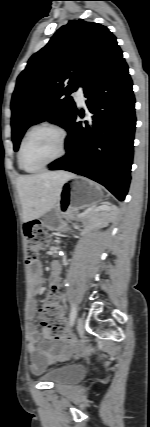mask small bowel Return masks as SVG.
Wrapping results in <instances>:
<instances>
[{
    "label": "small bowel",
    "instance_id": "c3829d8e",
    "mask_svg": "<svg viewBox=\"0 0 150 427\" xmlns=\"http://www.w3.org/2000/svg\"><path fill=\"white\" fill-rule=\"evenodd\" d=\"M30 282L35 293L43 291V272L40 264H35L30 268ZM51 289L57 291L59 286V264L52 263V272L50 277ZM28 344L27 350L31 357V369L38 373L47 365L53 364L62 358L66 350L61 349L59 341H66L67 336L53 337L47 330L44 331V339H41L40 333L35 324H29L27 328Z\"/></svg>",
    "mask_w": 150,
    "mask_h": 427
}]
</instances>
